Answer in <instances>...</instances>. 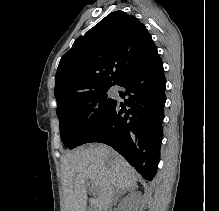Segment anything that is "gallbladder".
I'll use <instances>...</instances> for the list:
<instances>
[{"instance_id":"bac80fb5","label":"gallbladder","mask_w":219,"mask_h":211,"mask_svg":"<svg viewBox=\"0 0 219 211\" xmlns=\"http://www.w3.org/2000/svg\"><path fill=\"white\" fill-rule=\"evenodd\" d=\"M87 211H95V209H87Z\"/></svg>"}]
</instances>
